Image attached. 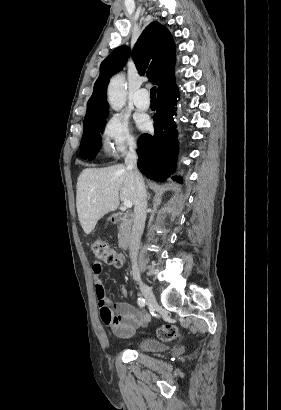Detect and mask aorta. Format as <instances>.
<instances>
[{"instance_id": "762f6f07", "label": "aorta", "mask_w": 281, "mask_h": 410, "mask_svg": "<svg viewBox=\"0 0 281 410\" xmlns=\"http://www.w3.org/2000/svg\"><path fill=\"white\" fill-rule=\"evenodd\" d=\"M108 101L113 110L119 111L126 103L125 78L117 75L108 85Z\"/></svg>"}]
</instances>
